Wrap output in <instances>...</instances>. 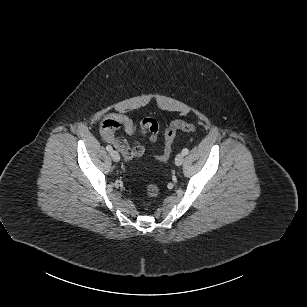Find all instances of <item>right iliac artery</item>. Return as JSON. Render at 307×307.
Returning a JSON list of instances; mask_svg holds the SVG:
<instances>
[{
    "label": "right iliac artery",
    "mask_w": 307,
    "mask_h": 307,
    "mask_svg": "<svg viewBox=\"0 0 307 307\" xmlns=\"http://www.w3.org/2000/svg\"><path fill=\"white\" fill-rule=\"evenodd\" d=\"M106 150H107L108 152H111V151L113 150V148H112V146L107 145V146H106Z\"/></svg>",
    "instance_id": "obj_1"
}]
</instances>
